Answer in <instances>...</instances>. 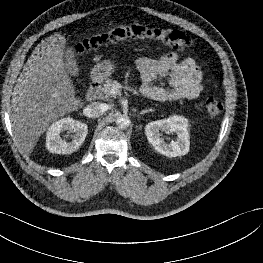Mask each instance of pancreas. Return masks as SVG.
<instances>
[{
	"label": "pancreas",
	"mask_w": 263,
	"mask_h": 263,
	"mask_svg": "<svg viewBox=\"0 0 263 263\" xmlns=\"http://www.w3.org/2000/svg\"><path fill=\"white\" fill-rule=\"evenodd\" d=\"M117 84L118 82L116 80L107 79L100 88V96L104 97L105 99L116 97V94L112 93V88Z\"/></svg>",
	"instance_id": "1"
}]
</instances>
